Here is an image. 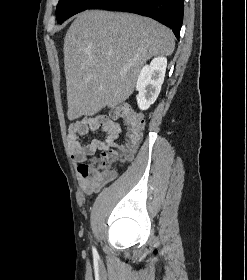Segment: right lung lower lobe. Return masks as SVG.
<instances>
[{"instance_id":"right-lung-lower-lobe-1","label":"right lung lower lobe","mask_w":247,"mask_h":280,"mask_svg":"<svg viewBox=\"0 0 247 280\" xmlns=\"http://www.w3.org/2000/svg\"><path fill=\"white\" fill-rule=\"evenodd\" d=\"M183 8V0H98L89 9L116 10L148 16L170 27L179 38Z\"/></svg>"}]
</instances>
